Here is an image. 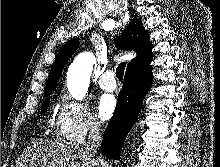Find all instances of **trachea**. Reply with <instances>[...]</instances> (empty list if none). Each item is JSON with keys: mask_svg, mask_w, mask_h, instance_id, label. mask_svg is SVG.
<instances>
[{"mask_svg": "<svg viewBox=\"0 0 220 167\" xmlns=\"http://www.w3.org/2000/svg\"><path fill=\"white\" fill-rule=\"evenodd\" d=\"M125 66H126V63L123 62V63H120L116 69V76L117 78L122 81L123 80V74H124V70H125Z\"/></svg>", "mask_w": 220, "mask_h": 167, "instance_id": "trachea-1", "label": "trachea"}]
</instances>
